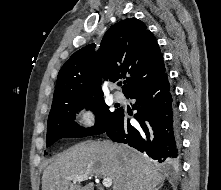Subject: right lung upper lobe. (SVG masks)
Returning a JSON list of instances; mask_svg holds the SVG:
<instances>
[{"mask_svg": "<svg viewBox=\"0 0 221 190\" xmlns=\"http://www.w3.org/2000/svg\"><path fill=\"white\" fill-rule=\"evenodd\" d=\"M165 72L154 35L142 21L125 19L107 30L97 53L92 43L65 62L58 73L52 106L102 98V77L112 82L126 78L122 87L126 96Z\"/></svg>", "mask_w": 221, "mask_h": 190, "instance_id": "obj_1", "label": "right lung upper lobe"}]
</instances>
